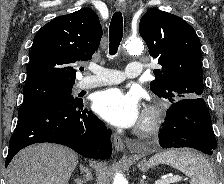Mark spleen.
Segmentation results:
<instances>
[{"instance_id": "spleen-1", "label": "spleen", "mask_w": 224, "mask_h": 184, "mask_svg": "<svg viewBox=\"0 0 224 184\" xmlns=\"http://www.w3.org/2000/svg\"><path fill=\"white\" fill-rule=\"evenodd\" d=\"M167 164L191 178L192 184H215L213 169L202 155L189 149L168 150L157 153L148 166Z\"/></svg>"}]
</instances>
